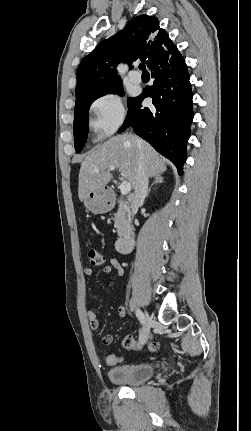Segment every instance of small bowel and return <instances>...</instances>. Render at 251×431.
I'll return each mask as SVG.
<instances>
[{"instance_id": "1", "label": "small bowel", "mask_w": 251, "mask_h": 431, "mask_svg": "<svg viewBox=\"0 0 251 431\" xmlns=\"http://www.w3.org/2000/svg\"><path fill=\"white\" fill-rule=\"evenodd\" d=\"M101 269H102V272H104V273H111L114 271L116 273V275L120 276V277L123 276L124 272H125L121 262L114 257L110 258L109 264L103 265ZM84 274L86 276H91L93 274V269L90 267H86L84 269ZM117 314H118L119 318L125 317V315H126L125 307L122 305H119L117 307ZM87 317L89 320L90 327L93 330H97L100 327V320L97 316V313L94 310H88L87 311ZM113 341H114V336L111 334L105 335L101 339V343L103 345H110Z\"/></svg>"}]
</instances>
